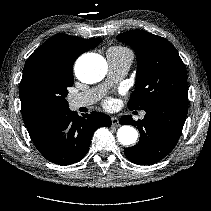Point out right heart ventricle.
I'll return each instance as SVG.
<instances>
[{"label":"right heart ventricle","instance_id":"e07e8e85","mask_svg":"<svg viewBox=\"0 0 211 211\" xmlns=\"http://www.w3.org/2000/svg\"><path fill=\"white\" fill-rule=\"evenodd\" d=\"M111 50H115V51H120V52H126V51H129L128 49L124 48V47H121V46H115V47H112L110 48Z\"/></svg>","mask_w":211,"mask_h":211}]
</instances>
